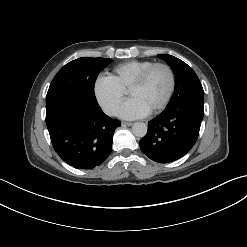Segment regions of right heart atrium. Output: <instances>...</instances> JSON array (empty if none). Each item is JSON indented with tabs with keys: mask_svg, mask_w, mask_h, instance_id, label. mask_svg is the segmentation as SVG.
I'll return each mask as SVG.
<instances>
[{
	"mask_svg": "<svg viewBox=\"0 0 247 247\" xmlns=\"http://www.w3.org/2000/svg\"><path fill=\"white\" fill-rule=\"evenodd\" d=\"M95 98L108 115H115L124 100L125 91L110 76H99L93 87Z\"/></svg>",
	"mask_w": 247,
	"mask_h": 247,
	"instance_id": "right-heart-atrium-1",
	"label": "right heart atrium"
}]
</instances>
